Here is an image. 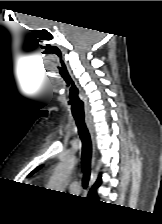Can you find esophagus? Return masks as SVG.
<instances>
[{"instance_id": "1", "label": "esophagus", "mask_w": 162, "mask_h": 224, "mask_svg": "<svg viewBox=\"0 0 162 224\" xmlns=\"http://www.w3.org/2000/svg\"><path fill=\"white\" fill-rule=\"evenodd\" d=\"M86 123L91 135L92 139V146H93V158H92V164L94 165L95 159H96V147H95V132H94V126H93V120L92 118H86Z\"/></svg>"}]
</instances>
